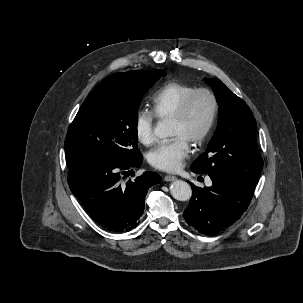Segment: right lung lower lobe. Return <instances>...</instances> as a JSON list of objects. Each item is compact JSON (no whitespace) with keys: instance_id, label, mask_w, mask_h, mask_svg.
Segmentation results:
<instances>
[{"instance_id":"right-lung-lower-lobe-1","label":"right lung lower lobe","mask_w":303,"mask_h":303,"mask_svg":"<svg viewBox=\"0 0 303 303\" xmlns=\"http://www.w3.org/2000/svg\"><path fill=\"white\" fill-rule=\"evenodd\" d=\"M143 158L125 163L103 155H88L68 166V184L89 215L104 228L127 232L135 228L143 214L148 189L160 183L158 174L144 172L126 185V175L139 167Z\"/></svg>"}]
</instances>
